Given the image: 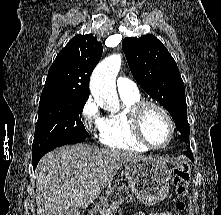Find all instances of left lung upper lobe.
Wrapping results in <instances>:
<instances>
[{
    "label": "left lung upper lobe",
    "mask_w": 221,
    "mask_h": 215,
    "mask_svg": "<svg viewBox=\"0 0 221 215\" xmlns=\"http://www.w3.org/2000/svg\"><path fill=\"white\" fill-rule=\"evenodd\" d=\"M129 68L137 83L171 114L180 139L188 142L189 124L185 88L175 60L153 35L125 38L122 42Z\"/></svg>",
    "instance_id": "5c2ea615"
}]
</instances>
